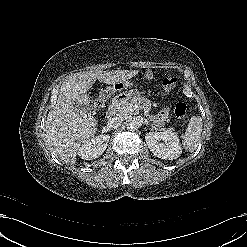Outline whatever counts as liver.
<instances>
[{
    "label": "liver",
    "instance_id": "obj_1",
    "mask_svg": "<svg viewBox=\"0 0 247 247\" xmlns=\"http://www.w3.org/2000/svg\"><path fill=\"white\" fill-rule=\"evenodd\" d=\"M138 70H90L69 76L61 85L56 104L45 122L46 142L60 161L74 164L78 148L92 138L98 121L86 108L87 92L96 80L108 85L124 82L138 74ZM109 89V88H108Z\"/></svg>",
    "mask_w": 247,
    "mask_h": 247
}]
</instances>
